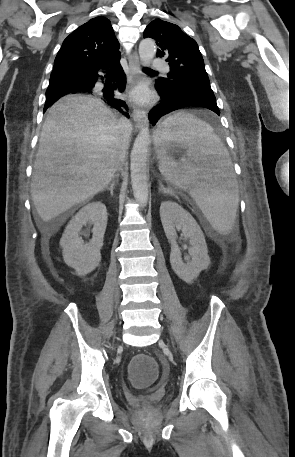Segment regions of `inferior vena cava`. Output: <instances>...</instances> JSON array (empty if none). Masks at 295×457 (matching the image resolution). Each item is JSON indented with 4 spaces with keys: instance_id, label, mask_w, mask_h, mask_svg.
Masks as SVG:
<instances>
[{
    "instance_id": "602c4592",
    "label": "inferior vena cava",
    "mask_w": 295,
    "mask_h": 457,
    "mask_svg": "<svg viewBox=\"0 0 295 457\" xmlns=\"http://www.w3.org/2000/svg\"><path fill=\"white\" fill-rule=\"evenodd\" d=\"M121 125L123 128V137H124V140L126 141V139L129 137V134L132 131V125H131L130 121L126 120V119L121 120ZM124 156H125V151L123 150L119 156L118 166H120V162H123Z\"/></svg>"
}]
</instances>
